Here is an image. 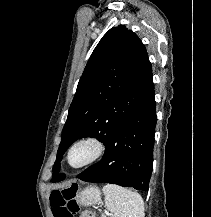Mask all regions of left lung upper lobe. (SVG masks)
<instances>
[{
    "mask_svg": "<svg viewBox=\"0 0 211 217\" xmlns=\"http://www.w3.org/2000/svg\"><path fill=\"white\" fill-rule=\"evenodd\" d=\"M154 91L146 48L124 25L111 28L90 56L64 125L53 182L64 152L77 139L95 137L106 144L113 129Z\"/></svg>",
    "mask_w": 211,
    "mask_h": 217,
    "instance_id": "left-lung-upper-lobe-1",
    "label": "left lung upper lobe"
}]
</instances>
